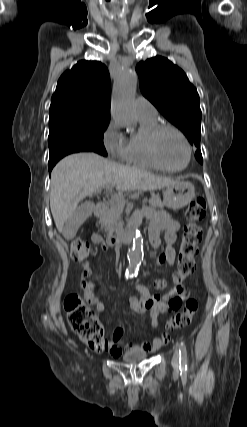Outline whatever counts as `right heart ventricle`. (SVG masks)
<instances>
[{
  "instance_id": "obj_1",
  "label": "right heart ventricle",
  "mask_w": 247,
  "mask_h": 427,
  "mask_svg": "<svg viewBox=\"0 0 247 427\" xmlns=\"http://www.w3.org/2000/svg\"><path fill=\"white\" fill-rule=\"evenodd\" d=\"M138 120L139 132L127 139L124 161L148 169H159L149 157L146 148L147 135L158 125L157 120L156 118H138Z\"/></svg>"
}]
</instances>
